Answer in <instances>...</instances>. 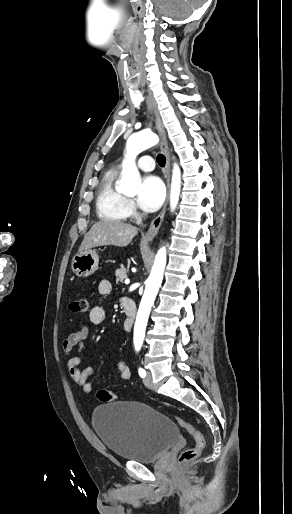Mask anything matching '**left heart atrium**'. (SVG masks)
<instances>
[{"label":"left heart atrium","instance_id":"39dd6f15","mask_svg":"<svg viewBox=\"0 0 292 514\" xmlns=\"http://www.w3.org/2000/svg\"><path fill=\"white\" fill-rule=\"evenodd\" d=\"M165 197V186L160 177L148 175L141 180L137 195L139 207L146 211L157 210Z\"/></svg>","mask_w":292,"mask_h":514}]
</instances>
